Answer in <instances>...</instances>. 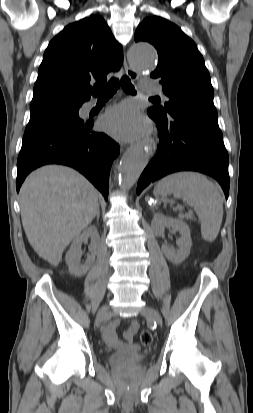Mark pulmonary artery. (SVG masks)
I'll return each mask as SVG.
<instances>
[{"label":"pulmonary artery","instance_id":"obj_1","mask_svg":"<svg viewBox=\"0 0 253 413\" xmlns=\"http://www.w3.org/2000/svg\"><path fill=\"white\" fill-rule=\"evenodd\" d=\"M142 90L149 94H161V88L154 82L144 83L142 85ZM165 100H167L166 96H163ZM94 106L93 102H89L86 104V109H91Z\"/></svg>","mask_w":253,"mask_h":413}]
</instances>
